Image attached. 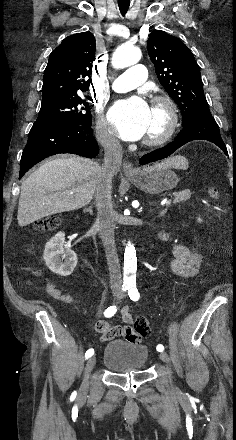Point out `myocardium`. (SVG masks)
<instances>
[{
    "label": "myocardium",
    "mask_w": 236,
    "mask_h": 440,
    "mask_svg": "<svg viewBox=\"0 0 236 440\" xmlns=\"http://www.w3.org/2000/svg\"><path fill=\"white\" fill-rule=\"evenodd\" d=\"M151 103L153 108L163 109L166 122L160 133L146 136L143 143L147 146H159L169 141L175 134L179 122L178 110L175 102L166 95L153 97Z\"/></svg>",
    "instance_id": "1"
}]
</instances>
